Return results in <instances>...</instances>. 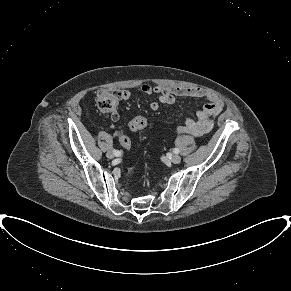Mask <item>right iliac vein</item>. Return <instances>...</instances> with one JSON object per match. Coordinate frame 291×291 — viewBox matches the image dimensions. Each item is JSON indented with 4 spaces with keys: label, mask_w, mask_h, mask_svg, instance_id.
Instances as JSON below:
<instances>
[{
    "label": "right iliac vein",
    "mask_w": 291,
    "mask_h": 291,
    "mask_svg": "<svg viewBox=\"0 0 291 291\" xmlns=\"http://www.w3.org/2000/svg\"><path fill=\"white\" fill-rule=\"evenodd\" d=\"M106 156H107L109 159H113L116 155L114 154L113 151H108V152L106 153Z\"/></svg>",
    "instance_id": "1"
}]
</instances>
